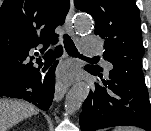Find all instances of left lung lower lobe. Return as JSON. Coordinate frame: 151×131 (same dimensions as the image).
Masks as SVG:
<instances>
[{"label": "left lung lower lobe", "instance_id": "0a47b994", "mask_svg": "<svg viewBox=\"0 0 151 131\" xmlns=\"http://www.w3.org/2000/svg\"><path fill=\"white\" fill-rule=\"evenodd\" d=\"M86 71L99 77L82 105V131H96L113 126H137L151 131V104L141 69H112L109 80L92 65Z\"/></svg>", "mask_w": 151, "mask_h": 131}]
</instances>
